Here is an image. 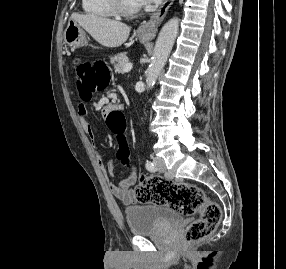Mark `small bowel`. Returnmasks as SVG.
Here are the masks:
<instances>
[{
    "mask_svg": "<svg viewBox=\"0 0 286 269\" xmlns=\"http://www.w3.org/2000/svg\"><path fill=\"white\" fill-rule=\"evenodd\" d=\"M101 109L103 111L100 112V120H107L108 116H110V114H111L110 108H107L106 105H102ZM77 116H78V119H79V121L83 127V130L90 137V139H91V141L95 147L94 131H93L91 124L87 120L88 109H87L86 103L84 101H81L78 104ZM118 139H119V137H118ZM118 142H119V140H118ZM125 142H126V140H125ZM96 159H97V162H98L106 180L108 181L109 189L112 192V194L117 199L122 201L124 204L134 203L136 201V196H135L134 191L130 188V185H132L135 181V167L131 165L130 166L131 172H130L129 176H127L123 180L122 185H116L110 181V179H111L110 169L105 167L104 162H103V158L97 150H96ZM116 160H117V162L122 163L121 158L118 155H116Z\"/></svg>",
    "mask_w": 286,
    "mask_h": 269,
    "instance_id": "obj_1",
    "label": "small bowel"
}]
</instances>
